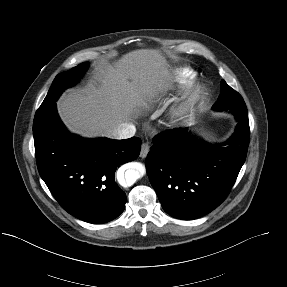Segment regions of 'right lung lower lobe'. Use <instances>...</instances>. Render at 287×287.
<instances>
[{"mask_svg": "<svg viewBox=\"0 0 287 287\" xmlns=\"http://www.w3.org/2000/svg\"><path fill=\"white\" fill-rule=\"evenodd\" d=\"M33 136L39 174L69 214L100 224L123 212L126 194L115 183V171L139 156L140 138L88 140L72 135L55 102L37 110Z\"/></svg>", "mask_w": 287, "mask_h": 287, "instance_id": "obj_1", "label": "right lung lower lobe"}]
</instances>
